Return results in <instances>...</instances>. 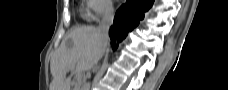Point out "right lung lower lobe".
<instances>
[{
    "label": "right lung lower lobe",
    "mask_w": 228,
    "mask_h": 90,
    "mask_svg": "<svg viewBox=\"0 0 228 90\" xmlns=\"http://www.w3.org/2000/svg\"><path fill=\"white\" fill-rule=\"evenodd\" d=\"M153 0H127L117 11L113 26L109 30L111 45L114 49L144 18V13L152 6Z\"/></svg>",
    "instance_id": "obj_1"
}]
</instances>
